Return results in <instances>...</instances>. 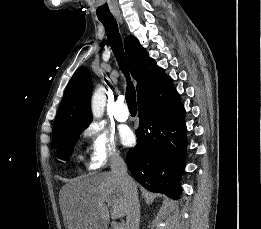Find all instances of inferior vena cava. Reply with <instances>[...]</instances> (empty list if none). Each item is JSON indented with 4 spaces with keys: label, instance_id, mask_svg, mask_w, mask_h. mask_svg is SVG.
I'll list each match as a JSON object with an SVG mask.
<instances>
[{
    "label": "inferior vena cava",
    "instance_id": "602c4592",
    "mask_svg": "<svg viewBox=\"0 0 261 229\" xmlns=\"http://www.w3.org/2000/svg\"><path fill=\"white\" fill-rule=\"evenodd\" d=\"M111 171L118 177L120 185L128 197V211L126 217V229H139L140 205L138 201L137 187L127 173V165L122 157H113Z\"/></svg>",
    "mask_w": 261,
    "mask_h": 229
}]
</instances>
